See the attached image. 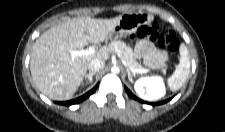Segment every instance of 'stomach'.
Instances as JSON below:
<instances>
[{
    "label": "stomach",
    "instance_id": "0dacf381",
    "mask_svg": "<svg viewBox=\"0 0 225 132\" xmlns=\"http://www.w3.org/2000/svg\"><path fill=\"white\" fill-rule=\"evenodd\" d=\"M148 16L144 14L122 15L118 25L108 34V39L115 41L125 33L135 31L139 26L146 23Z\"/></svg>",
    "mask_w": 225,
    "mask_h": 132
}]
</instances>
